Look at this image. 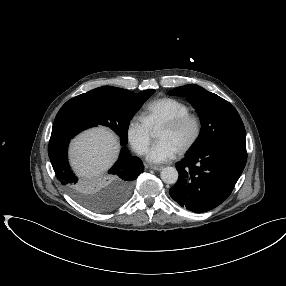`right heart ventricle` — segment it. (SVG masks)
Returning a JSON list of instances; mask_svg holds the SVG:
<instances>
[{"mask_svg": "<svg viewBox=\"0 0 286 286\" xmlns=\"http://www.w3.org/2000/svg\"><path fill=\"white\" fill-rule=\"evenodd\" d=\"M190 107L183 101L164 97L149 102L144 117L153 130L159 129L166 121L187 114Z\"/></svg>", "mask_w": 286, "mask_h": 286, "instance_id": "1", "label": "right heart ventricle"}]
</instances>
